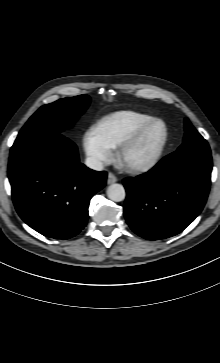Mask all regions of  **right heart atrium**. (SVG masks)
<instances>
[{
  "label": "right heart atrium",
  "instance_id": "obj_1",
  "mask_svg": "<svg viewBox=\"0 0 220 363\" xmlns=\"http://www.w3.org/2000/svg\"><path fill=\"white\" fill-rule=\"evenodd\" d=\"M83 150L89 164L93 168H101L110 162L112 152L109 146L100 138L96 129H89L83 136Z\"/></svg>",
  "mask_w": 220,
  "mask_h": 363
}]
</instances>
